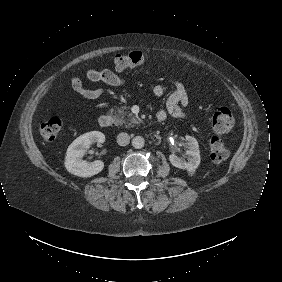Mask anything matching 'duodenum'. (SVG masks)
Masks as SVG:
<instances>
[{
    "mask_svg": "<svg viewBox=\"0 0 282 282\" xmlns=\"http://www.w3.org/2000/svg\"><path fill=\"white\" fill-rule=\"evenodd\" d=\"M159 122V120H157ZM113 118L111 115L104 114L99 118V125L103 128H108L112 125Z\"/></svg>",
    "mask_w": 282,
    "mask_h": 282,
    "instance_id": "1",
    "label": "duodenum"
}]
</instances>
